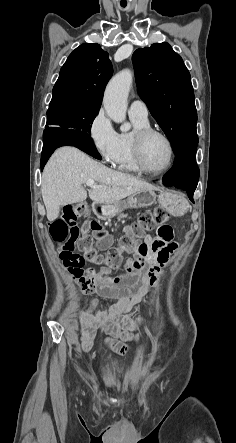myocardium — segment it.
<instances>
[{
	"label": "myocardium",
	"instance_id": "1",
	"mask_svg": "<svg viewBox=\"0 0 236 443\" xmlns=\"http://www.w3.org/2000/svg\"><path fill=\"white\" fill-rule=\"evenodd\" d=\"M151 135H158V136L162 137L166 141L168 148H169L170 157H169L168 164L160 170H152V169L148 168V166L146 165L145 160H144V155H143L144 144H145L146 140ZM132 144H133L134 161H135L137 168L141 172L148 174V175L157 176V175H161V174L166 173L173 166V163L175 160V147H174V144H173L171 138L161 129L151 127V126H145V127L139 128L138 130L135 131V133L133 135Z\"/></svg>",
	"mask_w": 236,
	"mask_h": 443
}]
</instances>
